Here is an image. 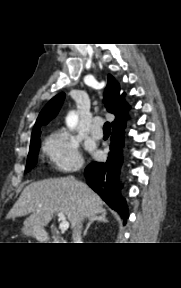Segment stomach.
Wrapping results in <instances>:
<instances>
[{
    "label": "stomach",
    "mask_w": 181,
    "mask_h": 288,
    "mask_svg": "<svg viewBox=\"0 0 181 288\" xmlns=\"http://www.w3.org/2000/svg\"><path fill=\"white\" fill-rule=\"evenodd\" d=\"M22 232L24 235L35 237L38 240H42V238H43L42 231H36V230L29 228V227H24L22 229Z\"/></svg>",
    "instance_id": "1"
}]
</instances>
